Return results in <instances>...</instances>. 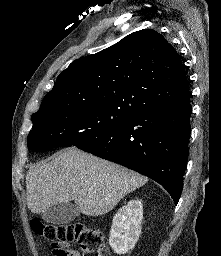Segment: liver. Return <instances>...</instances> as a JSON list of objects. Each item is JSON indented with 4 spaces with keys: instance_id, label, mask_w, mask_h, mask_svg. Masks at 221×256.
Listing matches in <instances>:
<instances>
[{
    "instance_id": "1",
    "label": "liver",
    "mask_w": 221,
    "mask_h": 256,
    "mask_svg": "<svg viewBox=\"0 0 221 256\" xmlns=\"http://www.w3.org/2000/svg\"><path fill=\"white\" fill-rule=\"evenodd\" d=\"M147 181L139 173L71 147L28 171L27 206L39 214L74 200L83 214L100 216Z\"/></svg>"
}]
</instances>
